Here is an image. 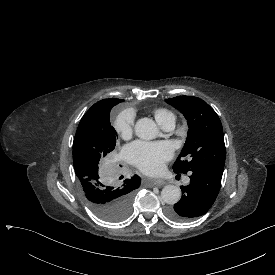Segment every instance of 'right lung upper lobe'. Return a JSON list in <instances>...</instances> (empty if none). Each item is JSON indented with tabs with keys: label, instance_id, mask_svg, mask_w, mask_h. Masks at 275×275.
Instances as JSON below:
<instances>
[{
	"label": "right lung upper lobe",
	"instance_id": "right-lung-upper-lobe-1",
	"mask_svg": "<svg viewBox=\"0 0 275 275\" xmlns=\"http://www.w3.org/2000/svg\"><path fill=\"white\" fill-rule=\"evenodd\" d=\"M122 99H116V98H111V99H104L101 100L97 103H95L89 110L88 112H102L105 111L109 108H112L113 106H115L116 104L122 102Z\"/></svg>",
	"mask_w": 275,
	"mask_h": 275
}]
</instances>
